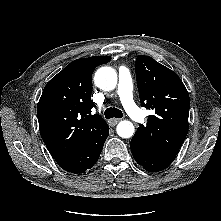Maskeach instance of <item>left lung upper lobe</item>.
I'll use <instances>...</instances> for the list:
<instances>
[{
  "instance_id": "left-lung-upper-lobe-1",
  "label": "left lung upper lobe",
  "mask_w": 221,
  "mask_h": 221,
  "mask_svg": "<svg viewBox=\"0 0 221 221\" xmlns=\"http://www.w3.org/2000/svg\"><path fill=\"white\" fill-rule=\"evenodd\" d=\"M135 71L141 105L155 114L133 137L155 153L175 157L188 132L189 94L175 72L151 57L138 55Z\"/></svg>"
}]
</instances>
